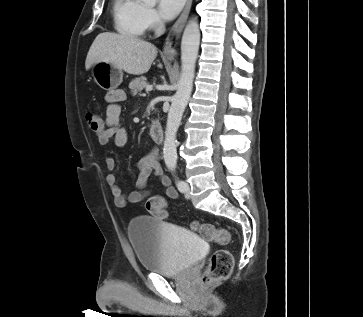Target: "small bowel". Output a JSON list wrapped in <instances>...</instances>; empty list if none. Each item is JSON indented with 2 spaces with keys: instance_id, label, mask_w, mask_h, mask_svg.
<instances>
[{
  "instance_id": "c3829d8e",
  "label": "small bowel",
  "mask_w": 363,
  "mask_h": 317,
  "mask_svg": "<svg viewBox=\"0 0 363 317\" xmlns=\"http://www.w3.org/2000/svg\"><path fill=\"white\" fill-rule=\"evenodd\" d=\"M125 97V92L121 89L111 90L107 93L106 101L108 102V106L106 109V116L103 120L104 129L98 134V141L101 145H107L112 141L115 146L123 147L129 141V134L120 122V103L125 100ZM116 165L117 162L113 157L106 158L108 170H115ZM135 166L139 171L136 182L139 190L133 191L127 195L124 194L118 186V177L115 173L111 172L106 177L116 206L125 207L127 203H141L152 197L162 198L160 196H153L149 192L143 190L151 175L159 177L161 185L165 188L166 197L171 199H176L178 197V192L171 186L169 177L164 174L159 160V152L156 149H152L138 159Z\"/></svg>"
}]
</instances>
